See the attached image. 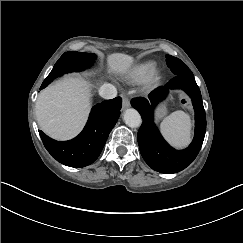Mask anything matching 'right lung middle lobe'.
Listing matches in <instances>:
<instances>
[{
    "instance_id": "right-lung-middle-lobe-1",
    "label": "right lung middle lobe",
    "mask_w": 243,
    "mask_h": 243,
    "mask_svg": "<svg viewBox=\"0 0 243 243\" xmlns=\"http://www.w3.org/2000/svg\"><path fill=\"white\" fill-rule=\"evenodd\" d=\"M96 59L95 54L80 53L76 51L65 52L61 58L56 62L50 74L43 81L41 88L48 86L55 78L74 71L84 70L94 63Z\"/></svg>"
}]
</instances>
